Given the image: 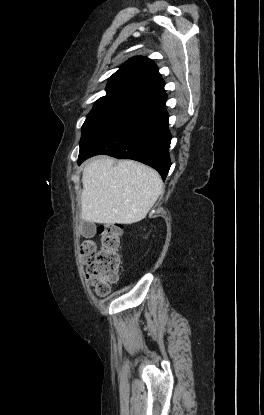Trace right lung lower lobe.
Instances as JSON below:
<instances>
[{
	"label": "right lung lower lobe",
	"instance_id": "1",
	"mask_svg": "<svg viewBox=\"0 0 264 415\" xmlns=\"http://www.w3.org/2000/svg\"><path fill=\"white\" fill-rule=\"evenodd\" d=\"M166 93L147 99L121 116L79 152V165L89 157L106 154L133 159L156 169L163 179L171 166Z\"/></svg>",
	"mask_w": 264,
	"mask_h": 415
}]
</instances>
